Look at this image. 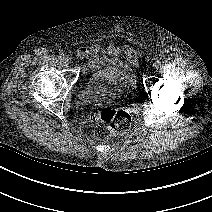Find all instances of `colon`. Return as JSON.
I'll return each instance as SVG.
<instances>
[{
	"label": "colon",
	"mask_w": 212,
	"mask_h": 212,
	"mask_svg": "<svg viewBox=\"0 0 212 212\" xmlns=\"http://www.w3.org/2000/svg\"><path fill=\"white\" fill-rule=\"evenodd\" d=\"M92 119L96 123L94 135L98 139H107L112 135L124 133L131 124L129 113L112 108L95 111Z\"/></svg>",
	"instance_id": "1"
}]
</instances>
